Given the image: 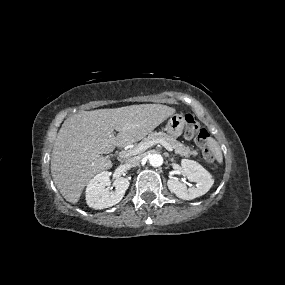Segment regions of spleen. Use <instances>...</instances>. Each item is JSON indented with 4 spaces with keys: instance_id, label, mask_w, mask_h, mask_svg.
I'll return each mask as SVG.
<instances>
[{
    "instance_id": "spleen-1",
    "label": "spleen",
    "mask_w": 285,
    "mask_h": 285,
    "mask_svg": "<svg viewBox=\"0 0 285 285\" xmlns=\"http://www.w3.org/2000/svg\"><path fill=\"white\" fill-rule=\"evenodd\" d=\"M209 147L211 149V152L214 156V158L219 162L221 163L222 162V159H223V156H222V151L220 149V146L219 144L214 140V139H211L209 141Z\"/></svg>"
}]
</instances>
